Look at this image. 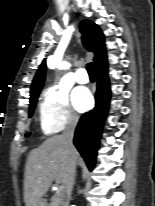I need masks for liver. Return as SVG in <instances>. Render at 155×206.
<instances>
[{
	"label": "liver",
	"instance_id": "1",
	"mask_svg": "<svg viewBox=\"0 0 155 206\" xmlns=\"http://www.w3.org/2000/svg\"><path fill=\"white\" fill-rule=\"evenodd\" d=\"M72 158L75 163L80 156L75 149ZM70 155L63 137L52 136L33 149L27 158L24 178V200L26 206H36L55 180L64 187L69 178Z\"/></svg>",
	"mask_w": 155,
	"mask_h": 206
}]
</instances>
